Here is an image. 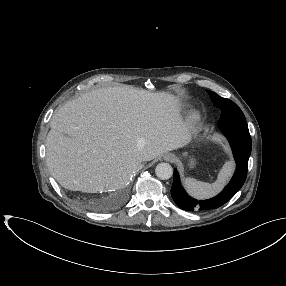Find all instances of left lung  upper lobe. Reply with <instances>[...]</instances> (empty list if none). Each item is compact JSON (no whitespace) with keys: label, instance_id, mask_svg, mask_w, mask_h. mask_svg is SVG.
<instances>
[{"label":"left lung upper lobe","instance_id":"1","mask_svg":"<svg viewBox=\"0 0 286 286\" xmlns=\"http://www.w3.org/2000/svg\"><path fill=\"white\" fill-rule=\"evenodd\" d=\"M214 106L221 109V118L222 117H240L245 118L241 109L231 100L220 97L216 93L207 90Z\"/></svg>","mask_w":286,"mask_h":286}]
</instances>
